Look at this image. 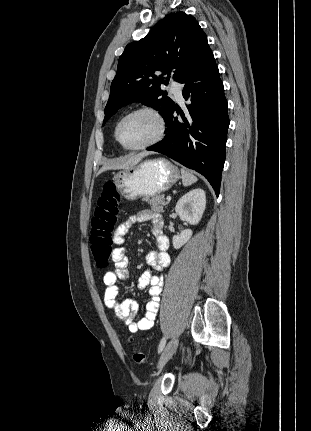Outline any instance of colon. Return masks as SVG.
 <instances>
[{
  "instance_id": "colon-1",
  "label": "colon",
  "mask_w": 311,
  "mask_h": 431,
  "mask_svg": "<svg viewBox=\"0 0 311 431\" xmlns=\"http://www.w3.org/2000/svg\"><path fill=\"white\" fill-rule=\"evenodd\" d=\"M119 193L115 182L106 181L101 195L98 198L94 216L91 221L90 249L96 265L105 268L109 264L113 251V238L115 224L119 213ZM130 341H133L131 338ZM134 362L144 364L146 356L134 350L132 354Z\"/></svg>"
}]
</instances>
